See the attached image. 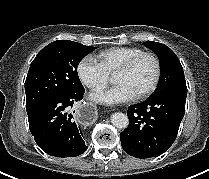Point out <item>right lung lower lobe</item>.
<instances>
[{
    "mask_svg": "<svg viewBox=\"0 0 209 179\" xmlns=\"http://www.w3.org/2000/svg\"><path fill=\"white\" fill-rule=\"evenodd\" d=\"M84 92L52 98L28 114L29 129L44 152L55 157H75L86 151L83 133L68 113Z\"/></svg>",
    "mask_w": 209,
    "mask_h": 179,
    "instance_id": "98d812e1",
    "label": "right lung lower lobe"
}]
</instances>
